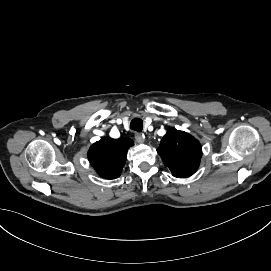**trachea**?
I'll return each instance as SVG.
<instances>
[{"label": "trachea", "instance_id": "3493384b", "mask_svg": "<svg viewBox=\"0 0 271 271\" xmlns=\"http://www.w3.org/2000/svg\"><path fill=\"white\" fill-rule=\"evenodd\" d=\"M130 129L135 130L137 132H141L143 130V121L140 118L132 119L130 123Z\"/></svg>", "mask_w": 271, "mask_h": 271}]
</instances>
